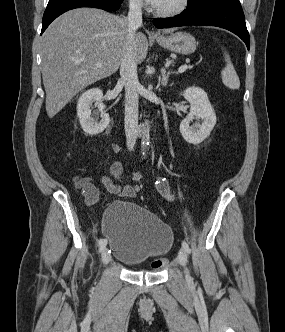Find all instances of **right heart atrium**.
<instances>
[{
    "instance_id": "obj_1",
    "label": "right heart atrium",
    "mask_w": 285,
    "mask_h": 332,
    "mask_svg": "<svg viewBox=\"0 0 285 332\" xmlns=\"http://www.w3.org/2000/svg\"><path fill=\"white\" fill-rule=\"evenodd\" d=\"M129 4L134 9H140L143 7L144 1L143 0H129Z\"/></svg>"
}]
</instances>
